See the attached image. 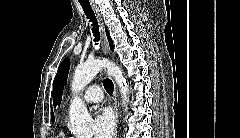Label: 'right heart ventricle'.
Returning <instances> with one entry per match:
<instances>
[{
	"instance_id": "obj_1",
	"label": "right heart ventricle",
	"mask_w": 240,
	"mask_h": 138,
	"mask_svg": "<svg viewBox=\"0 0 240 138\" xmlns=\"http://www.w3.org/2000/svg\"><path fill=\"white\" fill-rule=\"evenodd\" d=\"M58 138H73V137H70V136H68L67 134L61 132V133L59 134Z\"/></svg>"
}]
</instances>
